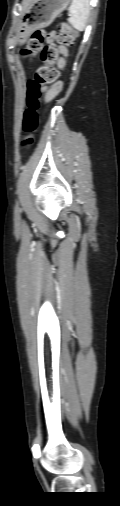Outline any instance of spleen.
<instances>
[{"instance_id":"spleen-1","label":"spleen","mask_w":120,"mask_h":506,"mask_svg":"<svg viewBox=\"0 0 120 506\" xmlns=\"http://www.w3.org/2000/svg\"><path fill=\"white\" fill-rule=\"evenodd\" d=\"M68 22L78 31H83L90 12L89 0H72L68 9Z\"/></svg>"}]
</instances>
